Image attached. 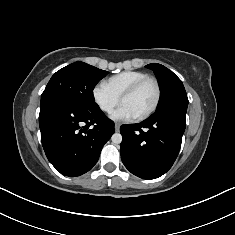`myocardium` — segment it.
Here are the masks:
<instances>
[{
  "mask_svg": "<svg viewBox=\"0 0 235 235\" xmlns=\"http://www.w3.org/2000/svg\"><path fill=\"white\" fill-rule=\"evenodd\" d=\"M148 82H151L154 84L155 90H156V96H155V100H154L152 106L147 111H145L141 115L137 116V119H139V120L146 119L152 113H154L160 103L161 87H160L158 80L156 78L150 77V76L143 78V79L139 80L138 82H136L135 84H133L131 87H129L126 91H124V93L120 97V102L122 103V101L126 97H129V96L135 94L141 87H143Z\"/></svg>",
  "mask_w": 235,
  "mask_h": 235,
  "instance_id": "myocardium-1",
  "label": "myocardium"
}]
</instances>
